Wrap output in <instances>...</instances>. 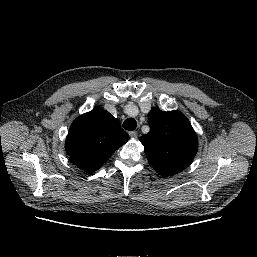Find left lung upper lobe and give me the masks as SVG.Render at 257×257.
I'll return each mask as SVG.
<instances>
[{
    "instance_id": "left-lung-upper-lobe-1",
    "label": "left lung upper lobe",
    "mask_w": 257,
    "mask_h": 257,
    "mask_svg": "<svg viewBox=\"0 0 257 257\" xmlns=\"http://www.w3.org/2000/svg\"><path fill=\"white\" fill-rule=\"evenodd\" d=\"M150 131L139 140L152 167L167 177L184 170L195 157L198 140L187 117L179 111L152 108Z\"/></svg>"
}]
</instances>
